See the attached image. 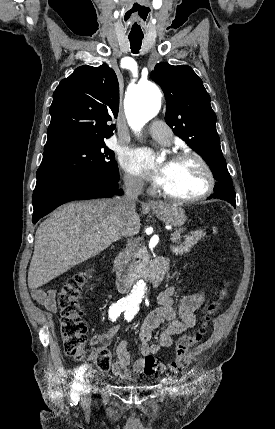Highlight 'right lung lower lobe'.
Returning a JSON list of instances; mask_svg holds the SVG:
<instances>
[{
	"mask_svg": "<svg viewBox=\"0 0 275 429\" xmlns=\"http://www.w3.org/2000/svg\"><path fill=\"white\" fill-rule=\"evenodd\" d=\"M118 180L99 175H76L47 182L34 189L32 196L35 224L58 206L73 200L110 198L123 194Z\"/></svg>",
	"mask_w": 275,
	"mask_h": 429,
	"instance_id": "right-lung-lower-lobe-1",
	"label": "right lung lower lobe"
}]
</instances>
